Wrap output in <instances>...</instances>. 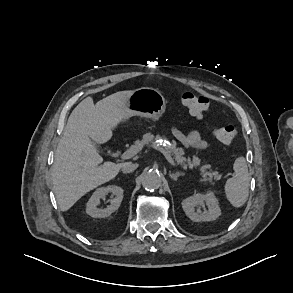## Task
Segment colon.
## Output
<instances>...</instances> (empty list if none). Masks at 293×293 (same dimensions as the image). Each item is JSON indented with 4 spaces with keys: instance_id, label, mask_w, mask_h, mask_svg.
Returning a JSON list of instances; mask_svg holds the SVG:
<instances>
[{
    "instance_id": "5ec220e1",
    "label": "colon",
    "mask_w": 293,
    "mask_h": 293,
    "mask_svg": "<svg viewBox=\"0 0 293 293\" xmlns=\"http://www.w3.org/2000/svg\"><path fill=\"white\" fill-rule=\"evenodd\" d=\"M181 102L189 113L197 118H202L210 109L206 97L192 92L184 93ZM214 134L220 142L229 144L236 138L237 130L234 126L226 125L215 130Z\"/></svg>"
}]
</instances>
